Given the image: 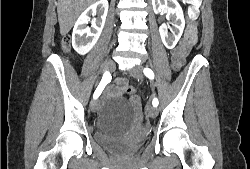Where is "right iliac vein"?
I'll use <instances>...</instances> for the list:
<instances>
[{
  "label": "right iliac vein",
  "mask_w": 250,
  "mask_h": 169,
  "mask_svg": "<svg viewBox=\"0 0 250 169\" xmlns=\"http://www.w3.org/2000/svg\"><path fill=\"white\" fill-rule=\"evenodd\" d=\"M115 69V63L112 60H106L102 65V72L113 71ZM99 103L96 99H93L90 103V108L93 112L98 110Z\"/></svg>",
  "instance_id": "obj_1"
}]
</instances>
